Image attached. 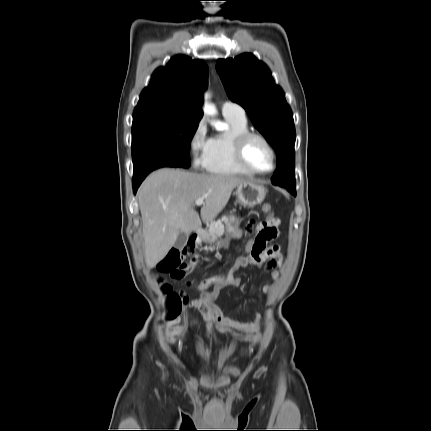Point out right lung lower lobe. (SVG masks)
Returning a JSON list of instances; mask_svg holds the SVG:
<instances>
[{
  "instance_id": "right-lung-lower-lobe-1",
  "label": "right lung lower lobe",
  "mask_w": 431,
  "mask_h": 431,
  "mask_svg": "<svg viewBox=\"0 0 431 431\" xmlns=\"http://www.w3.org/2000/svg\"><path fill=\"white\" fill-rule=\"evenodd\" d=\"M161 167H181L174 159L155 154L149 156L145 161L133 166V191L136 193L144 178L153 170Z\"/></svg>"
}]
</instances>
